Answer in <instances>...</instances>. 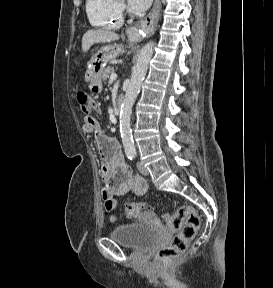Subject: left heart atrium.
<instances>
[{
	"mask_svg": "<svg viewBox=\"0 0 273 288\" xmlns=\"http://www.w3.org/2000/svg\"><path fill=\"white\" fill-rule=\"evenodd\" d=\"M151 2L152 0H128L130 8L135 12L145 11Z\"/></svg>",
	"mask_w": 273,
	"mask_h": 288,
	"instance_id": "left-heart-atrium-1",
	"label": "left heart atrium"
}]
</instances>
